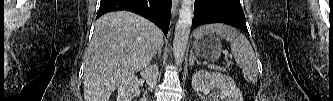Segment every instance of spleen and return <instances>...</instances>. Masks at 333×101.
Masks as SVG:
<instances>
[{
  "label": "spleen",
  "mask_w": 333,
  "mask_h": 101,
  "mask_svg": "<svg viewBox=\"0 0 333 101\" xmlns=\"http://www.w3.org/2000/svg\"><path fill=\"white\" fill-rule=\"evenodd\" d=\"M202 33L217 34L221 38L229 41L231 43L232 54L235 61L242 67V73L246 81L251 84L257 82L258 70L256 57L251 44L243 34L222 23L202 26L195 31L194 36Z\"/></svg>",
  "instance_id": "obj_1"
}]
</instances>
